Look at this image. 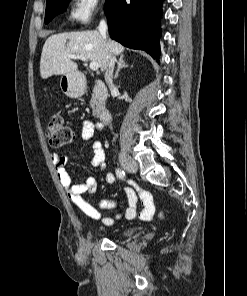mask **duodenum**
Instances as JSON below:
<instances>
[{
    "label": "duodenum",
    "mask_w": 247,
    "mask_h": 296,
    "mask_svg": "<svg viewBox=\"0 0 247 296\" xmlns=\"http://www.w3.org/2000/svg\"><path fill=\"white\" fill-rule=\"evenodd\" d=\"M92 97L97 106V117L104 125L112 121V114L104 105L107 97V88L102 81H95L92 86Z\"/></svg>",
    "instance_id": "duodenum-1"
}]
</instances>
